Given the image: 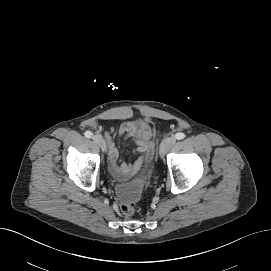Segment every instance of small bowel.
Returning a JSON list of instances; mask_svg holds the SVG:
<instances>
[{
    "label": "small bowel",
    "instance_id": "1",
    "mask_svg": "<svg viewBox=\"0 0 271 271\" xmlns=\"http://www.w3.org/2000/svg\"><path fill=\"white\" fill-rule=\"evenodd\" d=\"M116 132L121 137L130 138L135 144V152L138 154L134 162L127 163L120 159L118 146L112 139ZM154 131L152 126L144 120L126 121L117 129L109 128L105 134L110 158V171L117 179H125L137 173L144 163L152 160L154 144L152 141Z\"/></svg>",
    "mask_w": 271,
    "mask_h": 271
}]
</instances>
